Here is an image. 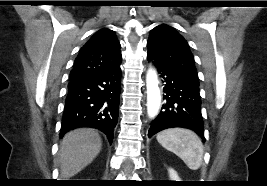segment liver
Returning <instances> with one entry per match:
<instances>
[{
  "instance_id": "1",
  "label": "liver",
  "mask_w": 267,
  "mask_h": 186,
  "mask_svg": "<svg viewBox=\"0 0 267 186\" xmlns=\"http://www.w3.org/2000/svg\"><path fill=\"white\" fill-rule=\"evenodd\" d=\"M102 147L97 131L79 128L68 132L60 143L59 163L62 178H71L99 154Z\"/></svg>"
}]
</instances>
